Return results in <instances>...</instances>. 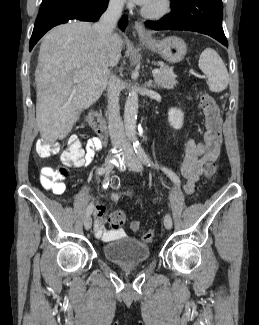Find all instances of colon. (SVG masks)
<instances>
[{"label":"colon","instance_id":"5ec220e1","mask_svg":"<svg viewBox=\"0 0 259 325\" xmlns=\"http://www.w3.org/2000/svg\"><path fill=\"white\" fill-rule=\"evenodd\" d=\"M199 104L205 118V133L204 141L206 148L210 151H215L219 148L221 142V117L219 106L208 93L202 92L199 96ZM60 144L58 142H44L39 141L36 144V151L40 157H49L58 152ZM82 156V145L80 141L71 137L68 141V148L64 151L62 158L67 166ZM216 172L214 164L208 165L205 169V175L212 177ZM68 176V169L61 168H45L40 174V183L43 188L53 191L54 193H61L64 190L63 180ZM109 225L112 230H120L125 222V214L122 210L113 212L109 219ZM141 228L139 221L131 223L133 231H139ZM155 238V233L152 229H145L141 234V240L145 243H151Z\"/></svg>","mask_w":259,"mask_h":325}]
</instances>
